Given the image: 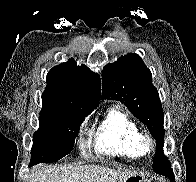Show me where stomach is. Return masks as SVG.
Wrapping results in <instances>:
<instances>
[{"mask_svg": "<svg viewBox=\"0 0 196 182\" xmlns=\"http://www.w3.org/2000/svg\"><path fill=\"white\" fill-rule=\"evenodd\" d=\"M125 182H151V179L147 178L144 174L135 173L128 177Z\"/></svg>", "mask_w": 196, "mask_h": 182, "instance_id": "1", "label": "stomach"}]
</instances>
